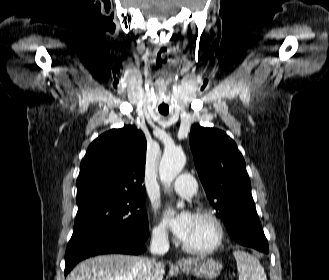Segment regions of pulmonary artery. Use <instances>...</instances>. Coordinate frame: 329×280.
<instances>
[{"instance_id": "pulmonary-artery-1", "label": "pulmonary artery", "mask_w": 329, "mask_h": 280, "mask_svg": "<svg viewBox=\"0 0 329 280\" xmlns=\"http://www.w3.org/2000/svg\"><path fill=\"white\" fill-rule=\"evenodd\" d=\"M171 188L180 196L190 197L196 192V180L190 174L179 175Z\"/></svg>"}]
</instances>
